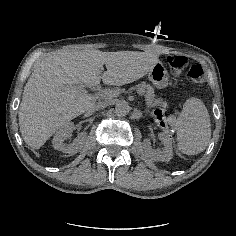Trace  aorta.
I'll use <instances>...</instances> for the list:
<instances>
[{
  "label": "aorta",
  "instance_id": "obj_1",
  "mask_svg": "<svg viewBox=\"0 0 236 236\" xmlns=\"http://www.w3.org/2000/svg\"><path fill=\"white\" fill-rule=\"evenodd\" d=\"M129 111H130V106L125 101L118 102L115 106V112L119 116H125L129 113Z\"/></svg>",
  "mask_w": 236,
  "mask_h": 236
}]
</instances>
